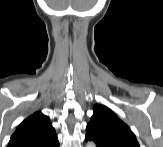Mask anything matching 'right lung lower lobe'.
Masks as SVG:
<instances>
[{
  "label": "right lung lower lobe",
  "instance_id": "1",
  "mask_svg": "<svg viewBox=\"0 0 163 147\" xmlns=\"http://www.w3.org/2000/svg\"><path fill=\"white\" fill-rule=\"evenodd\" d=\"M18 147H59L58 139H54L47 143H31V144H22Z\"/></svg>",
  "mask_w": 163,
  "mask_h": 147
}]
</instances>
